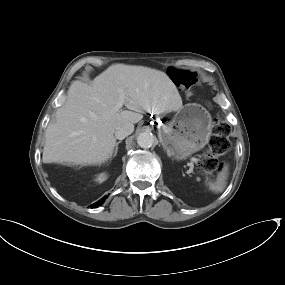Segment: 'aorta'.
Segmentation results:
<instances>
[{
    "mask_svg": "<svg viewBox=\"0 0 285 285\" xmlns=\"http://www.w3.org/2000/svg\"><path fill=\"white\" fill-rule=\"evenodd\" d=\"M155 142V137L152 133L142 132L137 137V143L141 148H150Z\"/></svg>",
    "mask_w": 285,
    "mask_h": 285,
    "instance_id": "aorta-1",
    "label": "aorta"
}]
</instances>
